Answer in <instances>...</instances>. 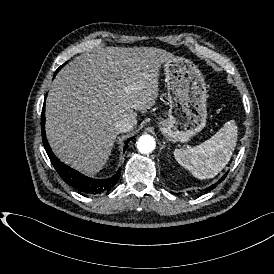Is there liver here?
I'll list each match as a JSON object with an SVG mask.
<instances>
[{
	"mask_svg": "<svg viewBox=\"0 0 274 274\" xmlns=\"http://www.w3.org/2000/svg\"><path fill=\"white\" fill-rule=\"evenodd\" d=\"M171 57L155 47L108 46L69 62L46 100V135L56 156L87 176L102 170L117 137L115 122L154 106L159 68Z\"/></svg>",
	"mask_w": 274,
	"mask_h": 274,
	"instance_id": "6515ba94",
	"label": "liver"
}]
</instances>
